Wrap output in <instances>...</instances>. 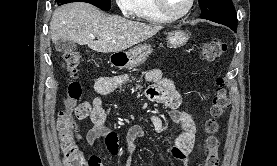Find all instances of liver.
<instances>
[{
    "label": "liver",
    "instance_id": "obj_1",
    "mask_svg": "<svg viewBox=\"0 0 277 166\" xmlns=\"http://www.w3.org/2000/svg\"><path fill=\"white\" fill-rule=\"evenodd\" d=\"M49 28L53 43L70 40L97 52L115 53L153 37L163 27L108 16L89 3L74 2L54 11Z\"/></svg>",
    "mask_w": 277,
    "mask_h": 166
}]
</instances>
